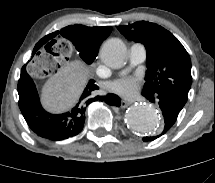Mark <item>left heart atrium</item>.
<instances>
[{
	"label": "left heart atrium",
	"instance_id": "39dd6f15",
	"mask_svg": "<svg viewBox=\"0 0 215 183\" xmlns=\"http://www.w3.org/2000/svg\"><path fill=\"white\" fill-rule=\"evenodd\" d=\"M139 89L137 78L127 77L113 82L110 90L127 98L136 96Z\"/></svg>",
	"mask_w": 215,
	"mask_h": 183
}]
</instances>
